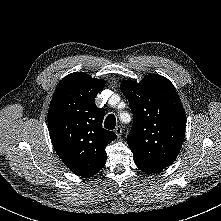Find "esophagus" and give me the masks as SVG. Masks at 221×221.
Wrapping results in <instances>:
<instances>
[{"mask_svg": "<svg viewBox=\"0 0 221 221\" xmlns=\"http://www.w3.org/2000/svg\"><path fill=\"white\" fill-rule=\"evenodd\" d=\"M115 134L117 135V137H120L122 134V127L121 126H117L114 130Z\"/></svg>", "mask_w": 221, "mask_h": 221, "instance_id": "34e87169", "label": "esophagus"}]
</instances>
